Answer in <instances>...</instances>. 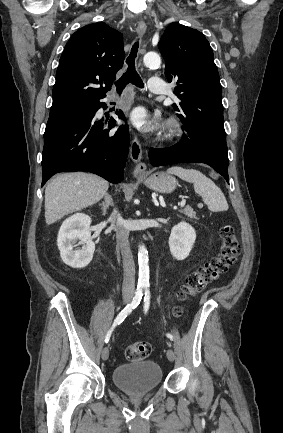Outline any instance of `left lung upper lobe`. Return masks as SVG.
<instances>
[{
    "label": "left lung upper lobe",
    "mask_w": 283,
    "mask_h": 433,
    "mask_svg": "<svg viewBox=\"0 0 283 433\" xmlns=\"http://www.w3.org/2000/svg\"><path fill=\"white\" fill-rule=\"evenodd\" d=\"M165 59V75L174 82L180 100L173 108L184 125L223 127L222 89L213 51L204 35L190 27L171 23L158 44Z\"/></svg>",
    "instance_id": "left-lung-upper-lobe-1"
}]
</instances>
